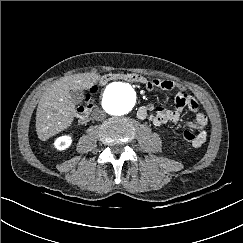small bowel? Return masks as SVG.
Listing matches in <instances>:
<instances>
[{"label": "small bowel", "mask_w": 243, "mask_h": 243, "mask_svg": "<svg viewBox=\"0 0 243 243\" xmlns=\"http://www.w3.org/2000/svg\"><path fill=\"white\" fill-rule=\"evenodd\" d=\"M148 90L161 89V90H174L175 96V109L169 110L161 107H156L152 104L141 107L138 110V117L140 119L150 120L154 125L161 126L166 123H176L181 118V112L185 108H189L195 113L194 121H186L185 125L196 131V140L191 143L193 147H200L206 141L205 127L207 125V117L199 112L198 104L195 99L188 94L185 89L179 84L166 79H153L144 82Z\"/></svg>", "instance_id": "1"}]
</instances>
